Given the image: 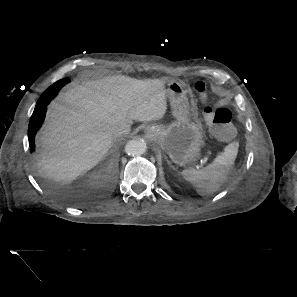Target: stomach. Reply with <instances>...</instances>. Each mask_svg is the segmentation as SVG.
<instances>
[{
  "label": "stomach",
  "mask_w": 297,
  "mask_h": 297,
  "mask_svg": "<svg viewBox=\"0 0 297 297\" xmlns=\"http://www.w3.org/2000/svg\"><path fill=\"white\" fill-rule=\"evenodd\" d=\"M166 95L175 121L167 126H148L146 130L171 161L182 166L200 156L204 144L203 128L187 84L181 80L168 81Z\"/></svg>",
  "instance_id": "obj_1"
}]
</instances>
